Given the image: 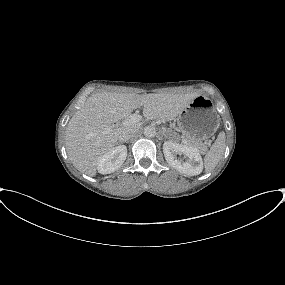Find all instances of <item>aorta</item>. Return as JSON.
<instances>
[{
	"instance_id": "1",
	"label": "aorta",
	"mask_w": 285,
	"mask_h": 285,
	"mask_svg": "<svg viewBox=\"0 0 285 285\" xmlns=\"http://www.w3.org/2000/svg\"><path fill=\"white\" fill-rule=\"evenodd\" d=\"M144 135L146 137H149V138L156 136V129H155V127L154 126H146L144 128Z\"/></svg>"
}]
</instances>
